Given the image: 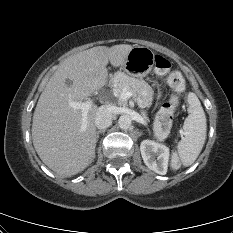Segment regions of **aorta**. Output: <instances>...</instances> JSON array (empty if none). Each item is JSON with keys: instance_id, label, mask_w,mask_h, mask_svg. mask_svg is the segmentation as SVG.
<instances>
[{"instance_id": "1", "label": "aorta", "mask_w": 233, "mask_h": 233, "mask_svg": "<svg viewBox=\"0 0 233 233\" xmlns=\"http://www.w3.org/2000/svg\"><path fill=\"white\" fill-rule=\"evenodd\" d=\"M132 119L129 115H121L118 120V125L122 130H127L131 127Z\"/></svg>"}]
</instances>
